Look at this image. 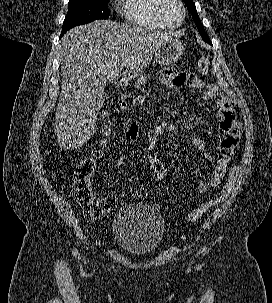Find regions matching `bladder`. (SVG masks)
<instances>
[{
	"label": "bladder",
	"mask_w": 272,
	"mask_h": 303,
	"mask_svg": "<svg viewBox=\"0 0 272 303\" xmlns=\"http://www.w3.org/2000/svg\"><path fill=\"white\" fill-rule=\"evenodd\" d=\"M165 223L160 212L147 204L129 203L115 214L113 233L119 247L134 256L154 252L161 244Z\"/></svg>",
	"instance_id": "obj_1"
}]
</instances>
